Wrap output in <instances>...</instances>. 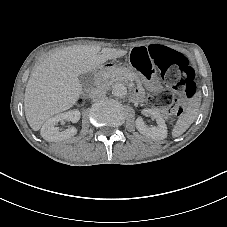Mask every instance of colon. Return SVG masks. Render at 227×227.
Segmentation results:
<instances>
[{"instance_id": "colon-1", "label": "colon", "mask_w": 227, "mask_h": 227, "mask_svg": "<svg viewBox=\"0 0 227 227\" xmlns=\"http://www.w3.org/2000/svg\"><path fill=\"white\" fill-rule=\"evenodd\" d=\"M149 56L150 59L142 52L133 50L130 62L145 76L150 75L154 66H157L164 80L174 91H164L149 97L150 104L160 109L175 106V115H180L182 101L194 97L197 92L195 74L188 59L183 54L161 45H151ZM79 102L81 103L82 100Z\"/></svg>"}]
</instances>
